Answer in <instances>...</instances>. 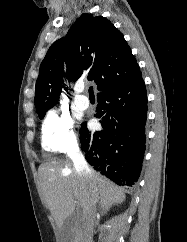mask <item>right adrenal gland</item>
Returning <instances> with one entry per match:
<instances>
[{"instance_id":"2a0ac1e0","label":"right adrenal gland","mask_w":187,"mask_h":242,"mask_svg":"<svg viewBox=\"0 0 187 242\" xmlns=\"http://www.w3.org/2000/svg\"><path fill=\"white\" fill-rule=\"evenodd\" d=\"M101 209H102L101 215L106 214L107 211H108V209H104V208H102V206H101ZM99 217H100V216L98 215V218H99Z\"/></svg>"}]
</instances>
